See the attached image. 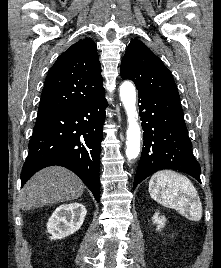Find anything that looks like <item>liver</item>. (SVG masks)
<instances>
[{
	"mask_svg": "<svg viewBox=\"0 0 221 268\" xmlns=\"http://www.w3.org/2000/svg\"><path fill=\"white\" fill-rule=\"evenodd\" d=\"M83 192L84 184L74 173L63 167H48L25 184L19 196V206L27 211L77 199Z\"/></svg>",
	"mask_w": 221,
	"mask_h": 268,
	"instance_id": "1",
	"label": "liver"
}]
</instances>
